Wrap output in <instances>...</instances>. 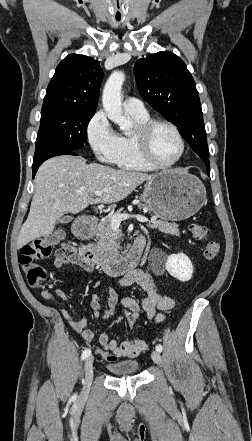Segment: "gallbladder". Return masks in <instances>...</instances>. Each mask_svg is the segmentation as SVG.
<instances>
[{"label":"gallbladder","mask_w":252,"mask_h":441,"mask_svg":"<svg viewBox=\"0 0 252 441\" xmlns=\"http://www.w3.org/2000/svg\"><path fill=\"white\" fill-rule=\"evenodd\" d=\"M71 219H72V217H70V216H64L59 219V223H68L71 221Z\"/></svg>","instance_id":"bac80fb5"}]
</instances>
